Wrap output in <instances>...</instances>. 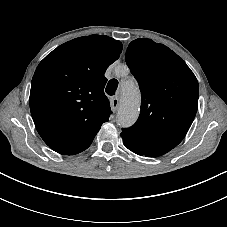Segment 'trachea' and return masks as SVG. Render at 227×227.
Here are the masks:
<instances>
[{
    "instance_id": "trachea-1",
    "label": "trachea",
    "mask_w": 227,
    "mask_h": 227,
    "mask_svg": "<svg viewBox=\"0 0 227 227\" xmlns=\"http://www.w3.org/2000/svg\"><path fill=\"white\" fill-rule=\"evenodd\" d=\"M117 87H118V80L117 79H111L108 82L105 91L108 95L112 96V95L115 94Z\"/></svg>"
}]
</instances>
